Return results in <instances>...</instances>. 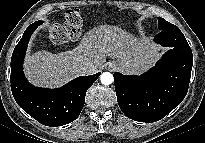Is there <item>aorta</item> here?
I'll list each match as a JSON object with an SVG mask.
<instances>
[{"instance_id":"aorta-1","label":"aorta","mask_w":205,"mask_h":143,"mask_svg":"<svg viewBox=\"0 0 205 143\" xmlns=\"http://www.w3.org/2000/svg\"><path fill=\"white\" fill-rule=\"evenodd\" d=\"M101 83L104 85H110L114 81V77L109 72H104L100 75Z\"/></svg>"}]
</instances>
